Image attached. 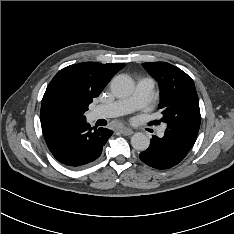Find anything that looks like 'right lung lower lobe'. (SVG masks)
Returning a JSON list of instances; mask_svg holds the SVG:
<instances>
[{
	"mask_svg": "<svg viewBox=\"0 0 234 234\" xmlns=\"http://www.w3.org/2000/svg\"><path fill=\"white\" fill-rule=\"evenodd\" d=\"M42 130L53 156L70 167H81L95 161L113 133L107 128H91L86 118L51 123L42 126Z\"/></svg>",
	"mask_w": 234,
	"mask_h": 234,
	"instance_id": "98d812e1",
	"label": "right lung lower lobe"
}]
</instances>
